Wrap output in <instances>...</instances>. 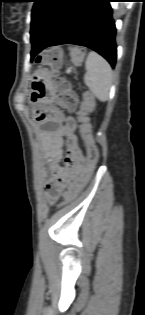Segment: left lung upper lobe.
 <instances>
[{"instance_id":"left-lung-upper-lobe-1","label":"left lung upper lobe","mask_w":145,"mask_h":315,"mask_svg":"<svg viewBox=\"0 0 145 315\" xmlns=\"http://www.w3.org/2000/svg\"><path fill=\"white\" fill-rule=\"evenodd\" d=\"M73 0H34L31 14V39L40 42Z\"/></svg>"}]
</instances>
